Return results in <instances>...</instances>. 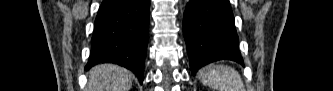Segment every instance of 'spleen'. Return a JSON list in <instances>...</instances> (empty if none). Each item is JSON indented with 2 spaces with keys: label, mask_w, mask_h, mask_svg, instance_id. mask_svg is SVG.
I'll return each mask as SVG.
<instances>
[{
  "label": "spleen",
  "mask_w": 333,
  "mask_h": 91,
  "mask_svg": "<svg viewBox=\"0 0 333 91\" xmlns=\"http://www.w3.org/2000/svg\"><path fill=\"white\" fill-rule=\"evenodd\" d=\"M199 80L217 91H245L239 73L227 65H209L198 72Z\"/></svg>",
  "instance_id": "obj_1"
}]
</instances>
